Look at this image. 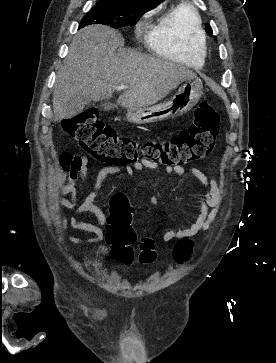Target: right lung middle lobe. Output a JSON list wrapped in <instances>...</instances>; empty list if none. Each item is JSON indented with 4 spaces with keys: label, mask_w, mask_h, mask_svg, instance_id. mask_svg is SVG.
Listing matches in <instances>:
<instances>
[{
    "label": "right lung middle lobe",
    "mask_w": 276,
    "mask_h": 363,
    "mask_svg": "<svg viewBox=\"0 0 276 363\" xmlns=\"http://www.w3.org/2000/svg\"><path fill=\"white\" fill-rule=\"evenodd\" d=\"M153 7L146 4L125 5L98 1L82 18L79 28L92 24L109 25L113 28L134 26Z\"/></svg>",
    "instance_id": "obj_1"
}]
</instances>
